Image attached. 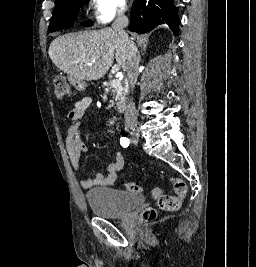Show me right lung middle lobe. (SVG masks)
Wrapping results in <instances>:
<instances>
[{
  "label": "right lung middle lobe",
  "mask_w": 256,
  "mask_h": 267,
  "mask_svg": "<svg viewBox=\"0 0 256 267\" xmlns=\"http://www.w3.org/2000/svg\"><path fill=\"white\" fill-rule=\"evenodd\" d=\"M89 0H60L56 1L53 16L50 20L49 30L58 31L73 25L81 5ZM89 25V23H84Z\"/></svg>",
  "instance_id": "right-lung-middle-lobe-1"
}]
</instances>
